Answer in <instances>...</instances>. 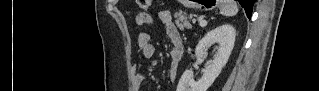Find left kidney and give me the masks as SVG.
Masks as SVG:
<instances>
[{
    "instance_id": "5707ae66",
    "label": "left kidney",
    "mask_w": 319,
    "mask_h": 91,
    "mask_svg": "<svg viewBox=\"0 0 319 91\" xmlns=\"http://www.w3.org/2000/svg\"><path fill=\"white\" fill-rule=\"evenodd\" d=\"M236 31L233 26L223 24L207 32L195 49L196 57L205 58L207 51L215 44L216 54L205 65L203 76L195 81L193 72L186 70L179 80L177 91H207L226 65L233 50Z\"/></svg>"
}]
</instances>
